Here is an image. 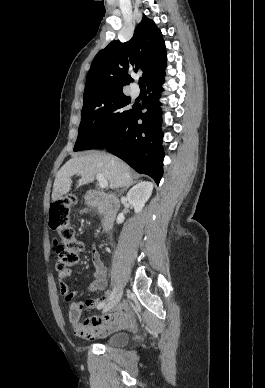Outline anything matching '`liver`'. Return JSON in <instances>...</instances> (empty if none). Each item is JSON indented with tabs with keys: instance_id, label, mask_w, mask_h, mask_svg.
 Segmentation results:
<instances>
[{
	"instance_id": "1",
	"label": "liver",
	"mask_w": 265,
	"mask_h": 388,
	"mask_svg": "<svg viewBox=\"0 0 265 388\" xmlns=\"http://www.w3.org/2000/svg\"><path fill=\"white\" fill-rule=\"evenodd\" d=\"M81 180L77 182V188L84 184H91L96 174H102L105 180L109 182V188H123V186H132V174L129 166L104 152H90L88 156H73L69 162L62 166L57 172L53 184L52 202L59 200L64 194L71 190V176L81 174Z\"/></svg>"
}]
</instances>
